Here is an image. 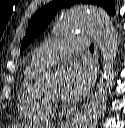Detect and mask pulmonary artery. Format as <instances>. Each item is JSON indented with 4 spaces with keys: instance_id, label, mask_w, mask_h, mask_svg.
<instances>
[{
    "instance_id": "1",
    "label": "pulmonary artery",
    "mask_w": 125,
    "mask_h": 128,
    "mask_svg": "<svg viewBox=\"0 0 125 128\" xmlns=\"http://www.w3.org/2000/svg\"><path fill=\"white\" fill-rule=\"evenodd\" d=\"M88 47L87 36L76 35L62 38L59 41L37 49L32 62L38 66H46L68 57L71 53Z\"/></svg>"
}]
</instances>
